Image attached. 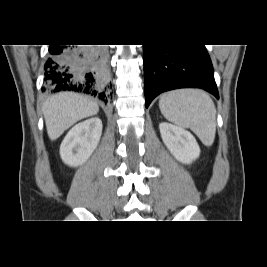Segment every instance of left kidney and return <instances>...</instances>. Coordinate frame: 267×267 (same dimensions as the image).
<instances>
[{
	"mask_svg": "<svg viewBox=\"0 0 267 267\" xmlns=\"http://www.w3.org/2000/svg\"><path fill=\"white\" fill-rule=\"evenodd\" d=\"M159 129L164 144L178 161L190 164L199 157L200 147L189 131L167 122Z\"/></svg>",
	"mask_w": 267,
	"mask_h": 267,
	"instance_id": "left-kidney-1",
	"label": "left kidney"
}]
</instances>
